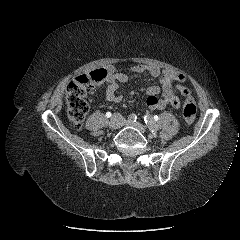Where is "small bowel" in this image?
<instances>
[{"instance_id": "obj_1", "label": "small bowel", "mask_w": 240, "mask_h": 240, "mask_svg": "<svg viewBox=\"0 0 240 240\" xmlns=\"http://www.w3.org/2000/svg\"><path fill=\"white\" fill-rule=\"evenodd\" d=\"M105 70L107 73L105 81L108 84L105 99L108 102H120L122 98L119 93L120 83L127 82L145 73L160 80L159 86H149L145 91L147 95L146 104L150 109L162 110L167 106L178 109L180 100L175 95L174 88L184 96L191 93L189 89L182 85L184 76L181 73L168 69L162 70L155 65H135L127 73L118 72L113 65H108ZM160 94L162 98H158Z\"/></svg>"}]
</instances>
